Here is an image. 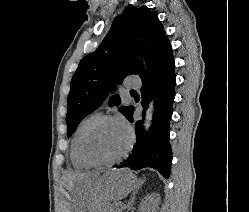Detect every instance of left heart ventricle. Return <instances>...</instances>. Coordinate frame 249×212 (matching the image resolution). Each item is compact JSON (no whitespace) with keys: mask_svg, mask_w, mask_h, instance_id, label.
<instances>
[{"mask_svg":"<svg viewBox=\"0 0 249 212\" xmlns=\"http://www.w3.org/2000/svg\"><path fill=\"white\" fill-rule=\"evenodd\" d=\"M128 134L123 126L115 122H104L88 135L84 150L94 161H108L119 156L127 147Z\"/></svg>","mask_w":249,"mask_h":212,"instance_id":"1","label":"left heart ventricle"}]
</instances>
